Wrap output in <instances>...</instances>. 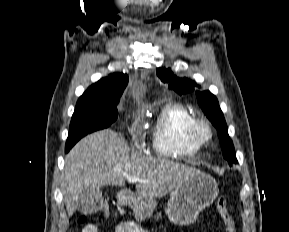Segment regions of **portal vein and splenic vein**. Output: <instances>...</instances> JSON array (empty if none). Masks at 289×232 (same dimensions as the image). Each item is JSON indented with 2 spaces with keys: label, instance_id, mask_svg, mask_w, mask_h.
Wrapping results in <instances>:
<instances>
[{
  "label": "portal vein and splenic vein",
  "instance_id": "portal-vein-and-splenic-vein-1",
  "mask_svg": "<svg viewBox=\"0 0 289 232\" xmlns=\"http://www.w3.org/2000/svg\"><path fill=\"white\" fill-rule=\"evenodd\" d=\"M127 180H128V182H130V183H135V182L145 183V182H148V180H142V179H139L138 177H135V176L127 177Z\"/></svg>",
  "mask_w": 289,
  "mask_h": 232
}]
</instances>
